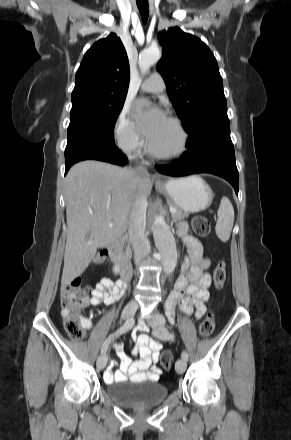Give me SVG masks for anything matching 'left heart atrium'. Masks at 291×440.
I'll use <instances>...</instances> for the list:
<instances>
[{"label": "left heart atrium", "instance_id": "1", "mask_svg": "<svg viewBox=\"0 0 291 440\" xmlns=\"http://www.w3.org/2000/svg\"><path fill=\"white\" fill-rule=\"evenodd\" d=\"M143 106V101H138L135 104L136 118L141 131L147 139H150L157 126L165 119V116L157 107L143 109Z\"/></svg>", "mask_w": 291, "mask_h": 440}]
</instances>
